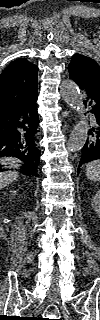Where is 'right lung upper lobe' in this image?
Returning a JSON list of instances; mask_svg holds the SVG:
<instances>
[{"label": "right lung upper lobe", "mask_w": 100, "mask_h": 320, "mask_svg": "<svg viewBox=\"0 0 100 320\" xmlns=\"http://www.w3.org/2000/svg\"><path fill=\"white\" fill-rule=\"evenodd\" d=\"M36 65L19 58L7 66L0 75V106L27 98L37 91Z\"/></svg>", "instance_id": "1"}]
</instances>
